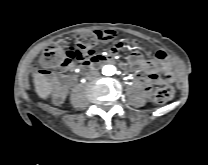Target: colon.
<instances>
[{
  "label": "colon",
  "instance_id": "obj_1",
  "mask_svg": "<svg viewBox=\"0 0 208 165\" xmlns=\"http://www.w3.org/2000/svg\"><path fill=\"white\" fill-rule=\"evenodd\" d=\"M114 37L112 33L105 31L80 32L76 34L74 45L68 50H65L61 43L53 42L43 51L40 61L35 65V70L48 78H53L56 69H63L75 62H80L83 58L92 57L95 55L93 48L99 41H108ZM132 45L136 48L140 44L134 42ZM60 83L57 82L55 86L57 94H61L64 89ZM173 95V88L166 86L155 92L154 101L158 104H164L171 100Z\"/></svg>",
  "mask_w": 208,
  "mask_h": 165
}]
</instances>
